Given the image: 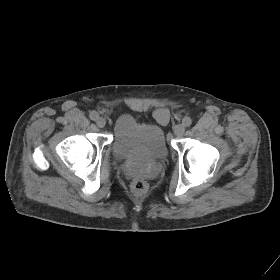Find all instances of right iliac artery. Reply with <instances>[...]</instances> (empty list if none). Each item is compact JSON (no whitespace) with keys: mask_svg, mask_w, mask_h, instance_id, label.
Masks as SVG:
<instances>
[{"mask_svg":"<svg viewBox=\"0 0 280 280\" xmlns=\"http://www.w3.org/2000/svg\"><path fill=\"white\" fill-rule=\"evenodd\" d=\"M89 117L91 120H97L98 117H99V114L96 112V111H92L90 114H89Z\"/></svg>","mask_w":280,"mask_h":280,"instance_id":"82829eb1","label":"right iliac artery"}]
</instances>
